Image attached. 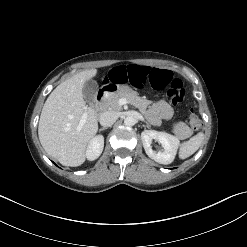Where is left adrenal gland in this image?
Returning a JSON list of instances; mask_svg holds the SVG:
<instances>
[{
    "instance_id": "1",
    "label": "left adrenal gland",
    "mask_w": 247,
    "mask_h": 247,
    "mask_svg": "<svg viewBox=\"0 0 247 247\" xmlns=\"http://www.w3.org/2000/svg\"><path fill=\"white\" fill-rule=\"evenodd\" d=\"M148 127H151V125H149L148 123H146Z\"/></svg>"
}]
</instances>
